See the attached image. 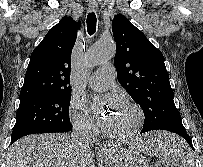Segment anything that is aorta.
Wrapping results in <instances>:
<instances>
[{"label":"aorta","instance_id":"1","mask_svg":"<svg viewBox=\"0 0 203 167\" xmlns=\"http://www.w3.org/2000/svg\"><path fill=\"white\" fill-rule=\"evenodd\" d=\"M116 52L113 40H99L92 45L83 59V69L87 70L97 65H101L112 59Z\"/></svg>","mask_w":203,"mask_h":167}]
</instances>
